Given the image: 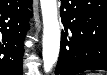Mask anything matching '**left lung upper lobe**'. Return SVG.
Instances as JSON below:
<instances>
[{
  "instance_id": "5c2ea615",
  "label": "left lung upper lobe",
  "mask_w": 107,
  "mask_h": 75,
  "mask_svg": "<svg viewBox=\"0 0 107 75\" xmlns=\"http://www.w3.org/2000/svg\"><path fill=\"white\" fill-rule=\"evenodd\" d=\"M105 2H107L105 0ZM90 7H94L96 8L98 6V4H89ZM72 24L73 25H69L66 35L70 38L76 37L77 39H81V37L84 36V25L82 23V19L80 16H74L73 20H72Z\"/></svg>"
}]
</instances>
